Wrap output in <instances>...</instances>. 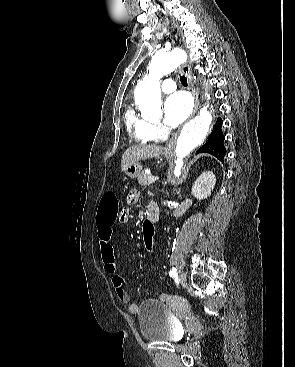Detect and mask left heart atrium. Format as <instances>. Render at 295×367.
I'll return each mask as SVG.
<instances>
[{
  "mask_svg": "<svg viewBox=\"0 0 295 367\" xmlns=\"http://www.w3.org/2000/svg\"><path fill=\"white\" fill-rule=\"evenodd\" d=\"M192 102L188 94L179 91L170 95L164 105V123L169 128L180 125L190 114Z\"/></svg>",
  "mask_w": 295,
  "mask_h": 367,
  "instance_id": "obj_1",
  "label": "left heart atrium"
}]
</instances>
